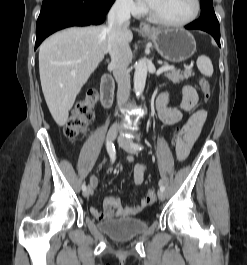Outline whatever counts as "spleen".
Instances as JSON below:
<instances>
[{
    "label": "spleen",
    "mask_w": 247,
    "mask_h": 265,
    "mask_svg": "<svg viewBox=\"0 0 247 265\" xmlns=\"http://www.w3.org/2000/svg\"><path fill=\"white\" fill-rule=\"evenodd\" d=\"M197 66L198 69L200 70V72L207 76V77H211L213 74V65L212 62L210 60L209 57L205 56V55H201L200 57H198L197 59Z\"/></svg>",
    "instance_id": "obj_1"
}]
</instances>
